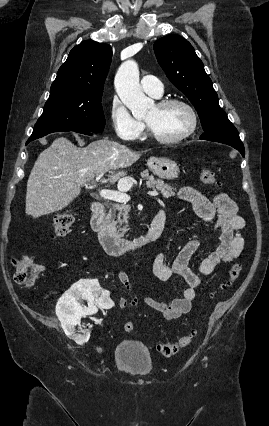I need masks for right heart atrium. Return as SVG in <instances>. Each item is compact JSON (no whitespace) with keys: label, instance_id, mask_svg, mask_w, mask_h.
<instances>
[{"label":"right heart atrium","instance_id":"obj_1","mask_svg":"<svg viewBox=\"0 0 269 426\" xmlns=\"http://www.w3.org/2000/svg\"><path fill=\"white\" fill-rule=\"evenodd\" d=\"M109 116L118 137L136 140L144 134V124L137 120L117 97H113L110 101Z\"/></svg>","mask_w":269,"mask_h":426}]
</instances>
